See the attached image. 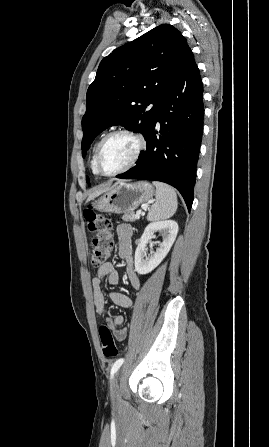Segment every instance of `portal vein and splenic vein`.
Returning a JSON list of instances; mask_svg holds the SVG:
<instances>
[{
    "instance_id": "18ae733b",
    "label": "portal vein and splenic vein",
    "mask_w": 269,
    "mask_h": 447,
    "mask_svg": "<svg viewBox=\"0 0 269 447\" xmlns=\"http://www.w3.org/2000/svg\"><path fill=\"white\" fill-rule=\"evenodd\" d=\"M135 220H140V214H135Z\"/></svg>"
}]
</instances>
